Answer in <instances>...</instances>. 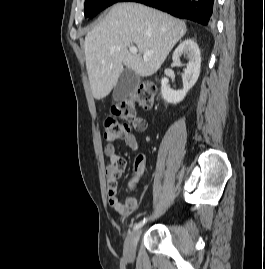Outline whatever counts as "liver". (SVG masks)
<instances>
[{"label":"liver","mask_w":265,"mask_h":269,"mask_svg":"<svg viewBox=\"0 0 265 269\" xmlns=\"http://www.w3.org/2000/svg\"><path fill=\"white\" fill-rule=\"evenodd\" d=\"M186 32L184 21L156 9L137 3L115 4L85 37L86 69L93 97H106L124 66L141 77L156 73ZM131 46L138 49L136 54L128 50ZM146 51L153 54L144 57Z\"/></svg>","instance_id":"obj_1"}]
</instances>
